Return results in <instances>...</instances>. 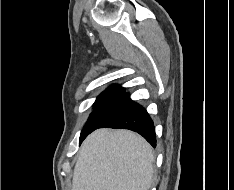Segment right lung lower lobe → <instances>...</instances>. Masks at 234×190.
Returning a JSON list of instances; mask_svg holds the SVG:
<instances>
[{
  "mask_svg": "<svg viewBox=\"0 0 234 190\" xmlns=\"http://www.w3.org/2000/svg\"><path fill=\"white\" fill-rule=\"evenodd\" d=\"M98 128L129 129L139 133L153 147H156V135L153 121L142 106L130 99L129 94L125 93V90L109 116ZM88 134L80 136V143Z\"/></svg>",
  "mask_w": 234,
  "mask_h": 190,
  "instance_id": "98d812e1",
  "label": "right lung lower lobe"
}]
</instances>
